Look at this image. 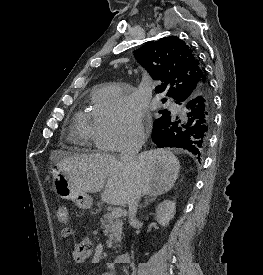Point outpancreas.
<instances>
[{
  "label": "pancreas",
  "instance_id": "pancreas-1",
  "mask_svg": "<svg viewBox=\"0 0 263 275\" xmlns=\"http://www.w3.org/2000/svg\"><path fill=\"white\" fill-rule=\"evenodd\" d=\"M100 221L104 234L108 235V240L106 241L107 246L111 247L113 242H120L123 225L121 220L113 217L111 213H107L103 216V218H101Z\"/></svg>",
  "mask_w": 263,
  "mask_h": 275
}]
</instances>
